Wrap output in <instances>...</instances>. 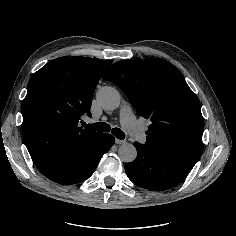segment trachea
<instances>
[{"instance_id":"obj_1","label":"trachea","mask_w":236,"mask_h":236,"mask_svg":"<svg viewBox=\"0 0 236 236\" xmlns=\"http://www.w3.org/2000/svg\"><path fill=\"white\" fill-rule=\"evenodd\" d=\"M82 125L88 129V130H95L99 132H109L110 131V126L107 123H94V124H86L85 122L82 121ZM112 134L120 139L123 140L125 138V133L119 129V128H113L112 129Z\"/></svg>"}]
</instances>
